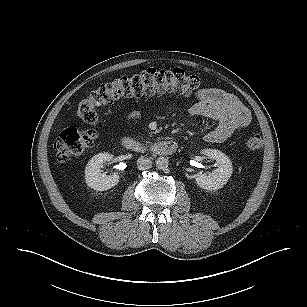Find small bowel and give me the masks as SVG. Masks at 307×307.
Segmentation results:
<instances>
[{
  "instance_id": "obj_1",
  "label": "small bowel",
  "mask_w": 307,
  "mask_h": 307,
  "mask_svg": "<svg viewBox=\"0 0 307 307\" xmlns=\"http://www.w3.org/2000/svg\"><path fill=\"white\" fill-rule=\"evenodd\" d=\"M195 103L189 113L203 116L215 124L204 135L208 143H220L228 139L236 131L246 127L251 114L248 108L233 94L217 88H203L195 96ZM139 118L138 112H130L127 123H134Z\"/></svg>"
}]
</instances>
